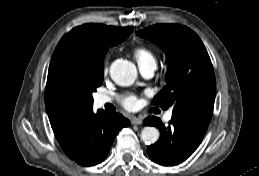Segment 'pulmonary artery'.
<instances>
[{"label":"pulmonary artery","mask_w":259,"mask_h":176,"mask_svg":"<svg viewBox=\"0 0 259 176\" xmlns=\"http://www.w3.org/2000/svg\"><path fill=\"white\" fill-rule=\"evenodd\" d=\"M140 72L144 77H152L154 75V72L156 70V64L154 63H150V64H146V65H140L139 66ZM111 101V98L106 96V95H99L96 98V102L98 105H104L106 103H109ZM172 118V112L169 111L168 113L165 114L164 116V120L166 122L170 121Z\"/></svg>","instance_id":"pulmonary-artery-1"}]
</instances>
